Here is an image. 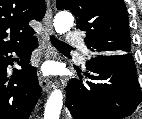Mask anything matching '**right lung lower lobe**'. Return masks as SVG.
I'll list each match as a JSON object with an SVG mask.
<instances>
[{
    "label": "right lung lower lobe",
    "instance_id": "98d812e1",
    "mask_svg": "<svg viewBox=\"0 0 142 119\" xmlns=\"http://www.w3.org/2000/svg\"><path fill=\"white\" fill-rule=\"evenodd\" d=\"M37 46V38L33 37L21 46L0 51V119H28L35 106L41 90L37 70L29 63ZM12 52L20 57L22 70H15V76L7 83V66L15 60Z\"/></svg>",
    "mask_w": 142,
    "mask_h": 119
}]
</instances>
